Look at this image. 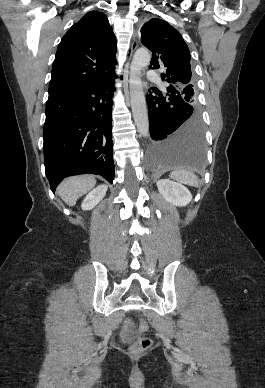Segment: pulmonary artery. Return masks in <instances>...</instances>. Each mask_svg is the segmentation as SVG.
Instances as JSON below:
<instances>
[{
	"instance_id": "pulmonary-artery-1",
	"label": "pulmonary artery",
	"mask_w": 265,
	"mask_h": 388,
	"mask_svg": "<svg viewBox=\"0 0 265 388\" xmlns=\"http://www.w3.org/2000/svg\"><path fill=\"white\" fill-rule=\"evenodd\" d=\"M148 77L152 82H162L163 80L162 75H159L158 72H149Z\"/></svg>"
}]
</instances>
